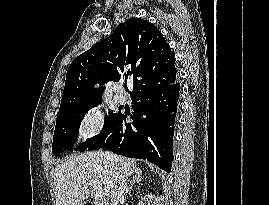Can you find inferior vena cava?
Listing matches in <instances>:
<instances>
[{
    "instance_id": "1",
    "label": "inferior vena cava",
    "mask_w": 269,
    "mask_h": 205,
    "mask_svg": "<svg viewBox=\"0 0 269 205\" xmlns=\"http://www.w3.org/2000/svg\"><path fill=\"white\" fill-rule=\"evenodd\" d=\"M107 153V157L112 159V155L109 152ZM116 173H115V179L114 184L112 186V189L110 193L108 194V200L105 205H120L124 202V196L126 191V181L127 178L121 168L119 166V163L116 162Z\"/></svg>"
}]
</instances>
